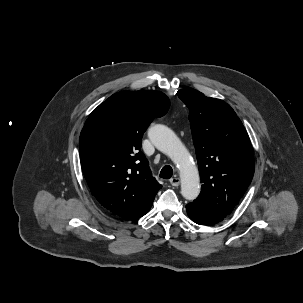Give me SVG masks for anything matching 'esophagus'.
Returning a JSON list of instances; mask_svg holds the SVG:
<instances>
[{
    "instance_id": "esophagus-1",
    "label": "esophagus",
    "mask_w": 303,
    "mask_h": 303,
    "mask_svg": "<svg viewBox=\"0 0 303 303\" xmlns=\"http://www.w3.org/2000/svg\"><path fill=\"white\" fill-rule=\"evenodd\" d=\"M170 183L172 186H179L180 184V179L178 177H173L170 179Z\"/></svg>"
}]
</instances>
